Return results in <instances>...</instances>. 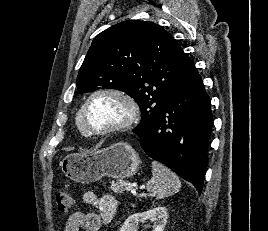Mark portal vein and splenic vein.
<instances>
[{"instance_id": "portal-vein-and-splenic-vein-1", "label": "portal vein and splenic vein", "mask_w": 268, "mask_h": 231, "mask_svg": "<svg viewBox=\"0 0 268 231\" xmlns=\"http://www.w3.org/2000/svg\"><path fill=\"white\" fill-rule=\"evenodd\" d=\"M132 187H133V185H131V184H129V183L126 184V189H127V190H132Z\"/></svg>"}]
</instances>
